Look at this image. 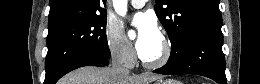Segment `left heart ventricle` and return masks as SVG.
<instances>
[{
	"label": "left heart ventricle",
	"mask_w": 260,
	"mask_h": 84,
	"mask_svg": "<svg viewBox=\"0 0 260 84\" xmlns=\"http://www.w3.org/2000/svg\"><path fill=\"white\" fill-rule=\"evenodd\" d=\"M161 51H162V43L160 40L159 43L157 44L156 48L151 53H149L147 56H145L144 58L147 60H154L160 56Z\"/></svg>",
	"instance_id": "left-heart-ventricle-1"
}]
</instances>
